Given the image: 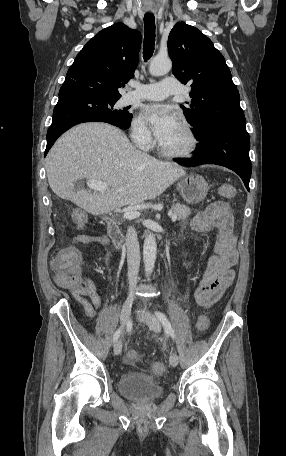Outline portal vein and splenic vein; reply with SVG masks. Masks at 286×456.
I'll return each instance as SVG.
<instances>
[{"label":"portal vein and splenic vein","instance_id":"obj_1","mask_svg":"<svg viewBox=\"0 0 286 456\" xmlns=\"http://www.w3.org/2000/svg\"><path fill=\"white\" fill-rule=\"evenodd\" d=\"M87 186L90 189H93V190L99 191V192H105L109 188L108 183L102 182V181H97V180H88ZM123 216L126 219H134V218H138L140 216V212L134 208H130L124 212ZM168 216L171 218V220L173 222L176 221V219H177V216L175 214H173L172 211H170L168 213Z\"/></svg>","mask_w":286,"mask_h":456}]
</instances>
